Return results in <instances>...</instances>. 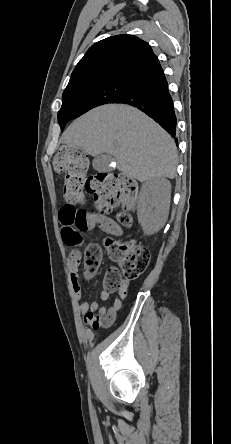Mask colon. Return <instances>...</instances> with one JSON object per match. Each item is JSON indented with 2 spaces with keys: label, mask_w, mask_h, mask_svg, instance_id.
Listing matches in <instances>:
<instances>
[{
  "label": "colon",
  "mask_w": 231,
  "mask_h": 444,
  "mask_svg": "<svg viewBox=\"0 0 231 444\" xmlns=\"http://www.w3.org/2000/svg\"><path fill=\"white\" fill-rule=\"evenodd\" d=\"M55 170L64 175V197L67 204L62 209L61 222L78 233L97 227L102 214L111 213L119 206L131 208L137 198L138 185L134 179L124 174L104 173L87 177L86 155L72 147H61L54 157ZM93 196L97 212L77 207L84 199V193ZM119 221L124 225L131 218L123 213ZM109 257L115 263L104 277V289L112 293L121 288L125 280L141 276L150 262L147 248L135 243H120L112 239L105 241ZM102 258L98 244H90L84 251V266L88 274L96 271Z\"/></svg>",
  "instance_id": "colon-1"
}]
</instances>
